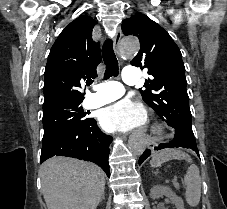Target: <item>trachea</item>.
<instances>
[{
	"label": "trachea",
	"mask_w": 227,
	"mask_h": 209,
	"mask_svg": "<svg viewBox=\"0 0 227 209\" xmlns=\"http://www.w3.org/2000/svg\"><path fill=\"white\" fill-rule=\"evenodd\" d=\"M113 41L111 39H106L102 47V57L105 62V73L104 79H109L110 77H116L118 75V60L113 50ZM93 80L88 82V85L92 84Z\"/></svg>",
	"instance_id": "3493384b"
}]
</instances>
